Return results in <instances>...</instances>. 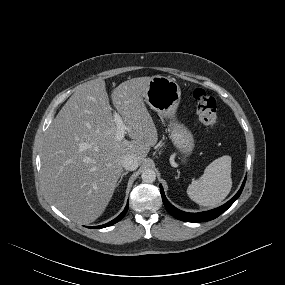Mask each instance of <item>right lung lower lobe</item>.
Returning <instances> with one entry per match:
<instances>
[{
  "label": "right lung lower lobe",
  "mask_w": 285,
  "mask_h": 285,
  "mask_svg": "<svg viewBox=\"0 0 285 285\" xmlns=\"http://www.w3.org/2000/svg\"><path fill=\"white\" fill-rule=\"evenodd\" d=\"M127 209H128V203H127L124 211L117 218H115L114 220H112V221H110V222H108V223H106L104 225L95 226V227H89V228H104V227L111 226V225L117 223L118 221H120L125 216V214L127 212Z\"/></svg>",
  "instance_id": "98d812e1"
}]
</instances>
